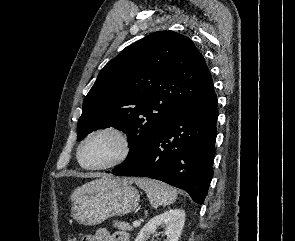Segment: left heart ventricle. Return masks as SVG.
Listing matches in <instances>:
<instances>
[{
  "instance_id": "left-heart-ventricle-1",
  "label": "left heart ventricle",
  "mask_w": 295,
  "mask_h": 241,
  "mask_svg": "<svg viewBox=\"0 0 295 241\" xmlns=\"http://www.w3.org/2000/svg\"><path fill=\"white\" fill-rule=\"evenodd\" d=\"M122 152L120 139L112 133L91 137L83 146L81 160L87 166H98L114 161Z\"/></svg>"
}]
</instances>
